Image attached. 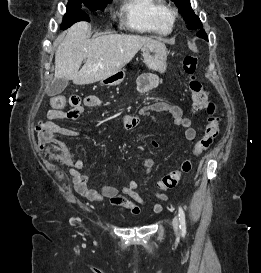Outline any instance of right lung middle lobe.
<instances>
[{"mask_svg":"<svg viewBox=\"0 0 261 273\" xmlns=\"http://www.w3.org/2000/svg\"><path fill=\"white\" fill-rule=\"evenodd\" d=\"M84 3L90 10H104L105 6L111 2V0H69L67 5V12L63 18L62 28L67 29L72 24L78 21H89L88 15L80 9L81 3Z\"/></svg>","mask_w":261,"mask_h":273,"instance_id":"right-lung-middle-lobe-1","label":"right lung middle lobe"}]
</instances>
